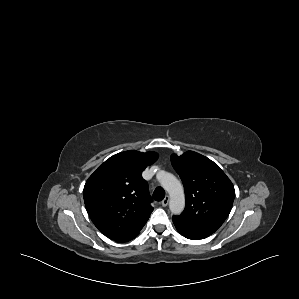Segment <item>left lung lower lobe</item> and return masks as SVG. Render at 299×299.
Returning a JSON list of instances; mask_svg holds the SVG:
<instances>
[{
	"instance_id": "1",
	"label": "left lung lower lobe",
	"mask_w": 299,
	"mask_h": 299,
	"mask_svg": "<svg viewBox=\"0 0 299 299\" xmlns=\"http://www.w3.org/2000/svg\"><path fill=\"white\" fill-rule=\"evenodd\" d=\"M173 223L177 229V231L185 236L188 239L192 240H199L204 239L209 236V234L200 232V231H193L188 229L183 223H181L176 217H173Z\"/></svg>"
}]
</instances>
